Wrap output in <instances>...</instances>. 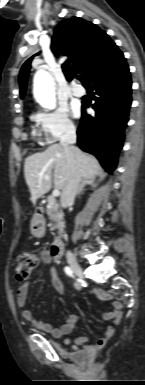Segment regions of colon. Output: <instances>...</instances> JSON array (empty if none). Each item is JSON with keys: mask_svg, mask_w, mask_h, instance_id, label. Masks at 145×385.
I'll use <instances>...</instances> for the list:
<instances>
[{"mask_svg": "<svg viewBox=\"0 0 145 385\" xmlns=\"http://www.w3.org/2000/svg\"><path fill=\"white\" fill-rule=\"evenodd\" d=\"M38 263V258L30 252H22L16 259L15 271L16 277L19 280L28 279L35 270Z\"/></svg>", "mask_w": 145, "mask_h": 385, "instance_id": "obj_1", "label": "colon"}]
</instances>
